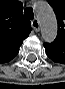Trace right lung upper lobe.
<instances>
[{"mask_svg":"<svg viewBox=\"0 0 65 89\" xmlns=\"http://www.w3.org/2000/svg\"><path fill=\"white\" fill-rule=\"evenodd\" d=\"M31 30V22L24 18L20 1L0 0V62L17 55Z\"/></svg>","mask_w":65,"mask_h":89,"instance_id":"right-lung-upper-lobe-1","label":"right lung upper lobe"}]
</instances>
